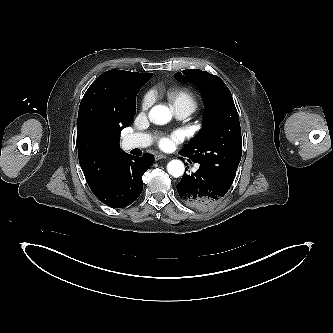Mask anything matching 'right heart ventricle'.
Returning a JSON list of instances; mask_svg holds the SVG:
<instances>
[{"label":"right heart ventricle","mask_w":333,"mask_h":333,"mask_svg":"<svg viewBox=\"0 0 333 333\" xmlns=\"http://www.w3.org/2000/svg\"><path fill=\"white\" fill-rule=\"evenodd\" d=\"M168 98L174 109L188 107L195 110L197 106V100L195 95L186 88H178L171 90L168 94Z\"/></svg>","instance_id":"right-heart-ventricle-1"}]
</instances>
